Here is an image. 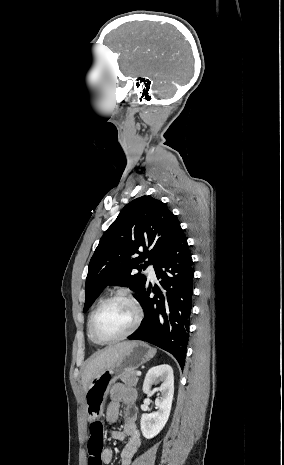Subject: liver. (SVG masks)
Segmentation results:
<instances>
[{"mask_svg":"<svg viewBox=\"0 0 284 465\" xmlns=\"http://www.w3.org/2000/svg\"><path fill=\"white\" fill-rule=\"evenodd\" d=\"M131 343L130 341H124V343H117V345H113V347H107L104 349L100 355H94L91 357L89 361H87L86 367H84V371L82 373V385L83 391L86 393L89 383H91L92 379L105 371V369H110V367H114L115 363L120 361L122 355L128 351Z\"/></svg>","mask_w":284,"mask_h":465,"instance_id":"obj_1","label":"liver"}]
</instances>
